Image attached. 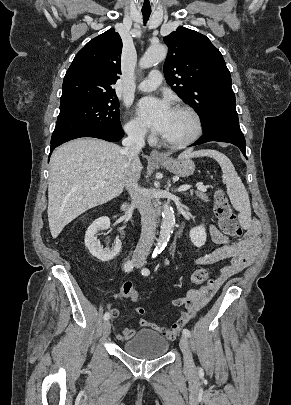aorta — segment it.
I'll return each instance as SVG.
<instances>
[{"mask_svg": "<svg viewBox=\"0 0 291 405\" xmlns=\"http://www.w3.org/2000/svg\"><path fill=\"white\" fill-rule=\"evenodd\" d=\"M167 56V48L162 44L150 46L143 57L140 59L139 66L143 69L152 67L153 65L165 60ZM175 225V215L172 206L168 203L163 205L162 224L160 235L153 252V256L159 254L167 245Z\"/></svg>", "mask_w": 291, "mask_h": 405, "instance_id": "aorta-1", "label": "aorta"}]
</instances>
